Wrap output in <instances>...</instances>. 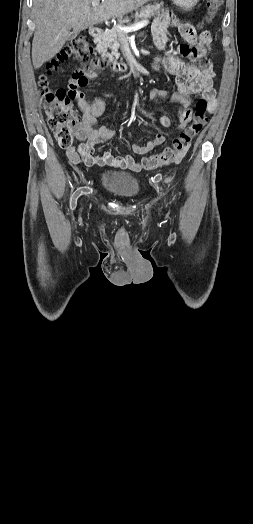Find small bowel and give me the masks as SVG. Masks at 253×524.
<instances>
[{"label": "small bowel", "instance_id": "1", "mask_svg": "<svg viewBox=\"0 0 253 524\" xmlns=\"http://www.w3.org/2000/svg\"><path fill=\"white\" fill-rule=\"evenodd\" d=\"M172 24L181 30L180 36L183 44L178 50L180 55L185 57L187 62H199V60L200 62L199 65L187 64L171 54L156 55L149 64L152 70L150 74L162 76L164 74L162 69L165 68L168 73L176 76L179 89L174 92L166 89H152L149 92V99L158 100L170 96L174 101L180 103L181 109L177 114L176 129L183 130L191 119V112L188 109L191 103V94L199 93L203 99L209 101L214 99L212 62L203 53H199L212 49V46H209L212 42V35L209 28H204L198 32L199 25L193 26L186 21H173ZM168 25L167 20L160 19L152 27V42L161 53H166L169 38ZM77 102L81 111V127L77 130L76 136L83 142L77 149L66 150L68 160L73 164L83 163L87 166H111L116 169L140 171V162L130 155L114 156L109 150L102 154L95 153V144L111 141L116 136L113 130L97 124L96 119L105 110L104 100L96 97L92 102H86L81 93L77 96ZM160 123L165 127L170 126V120L166 116L160 117ZM165 138L166 135L160 132L143 145L134 144L133 151L136 154H146L161 145Z\"/></svg>", "mask_w": 253, "mask_h": 524}]
</instances>
